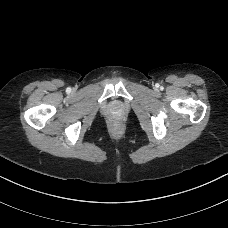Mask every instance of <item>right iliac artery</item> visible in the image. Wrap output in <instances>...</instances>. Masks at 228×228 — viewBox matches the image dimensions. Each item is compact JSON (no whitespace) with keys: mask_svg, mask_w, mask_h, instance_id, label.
Returning <instances> with one entry per match:
<instances>
[{"mask_svg":"<svg viewBox=\"0 0 228 228\" xmlns=\"http://www.w3.org/2000/svg\"><path fill=\"white\" fill-rule=\"evenodd\" d=\"M67 92H70L71 91V88H67V90H66Z\"/></svg>","mask_w":228,"mask_h":228,"instance_id":"right-iliac-artery-1","label":"right iliac artery"}]
</instances>
